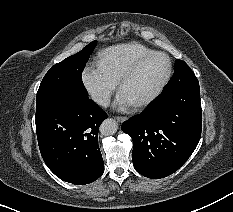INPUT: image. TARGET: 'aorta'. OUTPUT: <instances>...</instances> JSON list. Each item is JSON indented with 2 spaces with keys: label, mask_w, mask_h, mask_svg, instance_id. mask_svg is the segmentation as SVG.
<instances>
[{
  "label": "aorta",
  "mask_w": 233,
  "mask_h": 212,
  "mask_svg": "<svg viewBox=\"0 0 233 212\" xmlns=\"http://www.w3.org/2000/svg\"><path fill=\"white\" fill-rule=\"evenodd\" d=\"M118 123L116 120L108 118L100 125V132L104 136H110L117 132Z\"/></svg>",
  "instance_id": "1"
}]
</instances>
